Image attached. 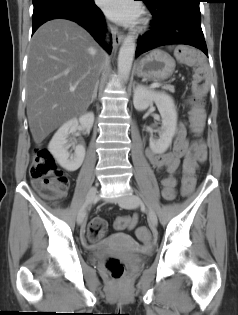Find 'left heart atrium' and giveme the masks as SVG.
<instances>
[{
	"label": "left heart atrium",
	"instance_id": "1",
	"mask_svg": "<svg viewBox=\"0 0 238 315\" xmlns=\"http://www.w3.org/2000/svg\"><path fill=\"white\" fill-rule=\"evenodd\" d=\"M98 3L111 20L122 25L135 24L141 14L140 6L134 0H98Z\"/></svg>",
	"mask_w": 238,
	"mask_h": 315
}]
</instances>
